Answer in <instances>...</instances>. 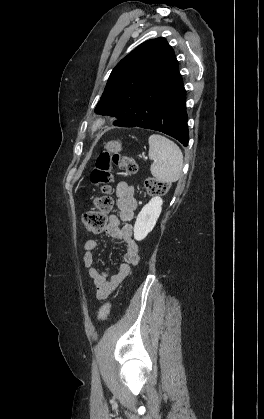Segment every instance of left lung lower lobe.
<instances>
[{"instance_id": "left-lung-lower-lobe-1", "label": "left lung lower lobe", "mask_w": 264, "mask_h": 419, "mask_svg": "<svg viewBox=\"0 0 264 419\" xmlns=\"http://www.w3.org/2000/svg\"><path fill=\"white\" fill-rule=\"evenodd\" d=\"M186 91L178 72L146 91L142 98L113 124L120 127H141L163 132L188 145Z\"/></svg>"}]
</instances>
